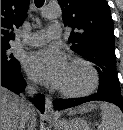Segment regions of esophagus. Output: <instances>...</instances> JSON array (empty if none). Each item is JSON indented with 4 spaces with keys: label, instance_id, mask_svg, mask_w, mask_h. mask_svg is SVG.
Here are the masks:
<instances>
[{
    "label": "esophagus",
    "instance_id": "esophagus-1",
    "mask_svg": "<svg viewBox=\"0 0 123 130\" xmlns=\"http://www.w3.org/2000/svg\"><path fill=\"white\" fill-rule=\"evenodd\" d=\"M44 117L46 119H54L56 117L53 110L52 100L49 97H46V100H45Z\"/></svg>",
    "mask_w": 123,
    "mask_h": 130
}]
</instances>
